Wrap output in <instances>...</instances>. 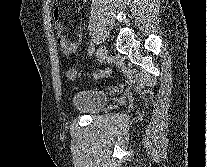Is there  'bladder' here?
Listing matches in <instances>:
<instances>
[{"label": "bladder", "instance_id": "bladder-1", "mask_svg": "<svg viewBox=\"0 0 207 167\" xmlns=\"http://www.w3.org/2000/svg\"><path fill=\"white\" fill-rule=\"evenodd\" d=\"M107 100L105 92L92 89L78 91L72 97L74 109L85 115H94L101 111Z\"/></svg>", "mask_w": 207, "mask_h": 167}]
</instances>
